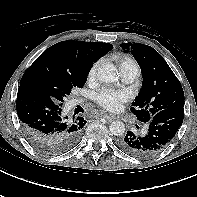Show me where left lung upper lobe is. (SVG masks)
<instances>
[{"instance_id": "obj_1", "label": "left lung upper lobe", "mask_w": 197, "mask_h": 197, "mask_svg": "<svg viewBox=\"0 0 197 197\" xmlns=\"http://www.w3.org/2000/svg\"><path fill=\"white\" fill-rule=\"evenodd\" d=\"M121 47L131 52L143 76L142 88L130 108L139 121L147 123L159 111L184 107L181 83L154 48L130 42L121 44Z\"/></svg>"}]
</instances>
